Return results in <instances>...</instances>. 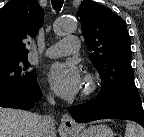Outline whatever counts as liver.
<instances>
[{"instance_id":"1","label":"liver","mask_w":144,"mask_h":137,"mask_svg":"<svg viewBox=\"0 0 144 137\" xmlns=\"http://www.w3.org/2000/svg\"><path fill=\"white\" fill-rule=\"evenodd\" d=\"M41 122L36 113L0 108V137H40Z\"/></svg>"}]
</instances>
